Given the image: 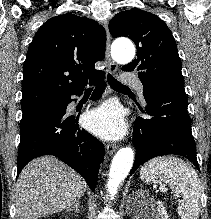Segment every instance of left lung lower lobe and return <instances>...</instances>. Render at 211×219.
I'll list each match as a JSON object with an SVG mask.
<instances>
[{
	"label": "left lung lower lobe",
	"mask_w": 211,
	"mask_h": 219,
	"mask_svg": "<svg viewBox=\"0 0 211 219\" xmlns=\"http://www.w3.org/2000/svg\"><path fill=\"white\" fill-rule=\"evenodd\" d=\"M143 94L146 113L153 117L135 120L136 156L130 175L149 159L168 154L189 159L199 170L184 88L154 86L144 88ZM138 108L144 112L140 106Z\"/></svg>",
	"instance_id": "1"
}]
</instances>
